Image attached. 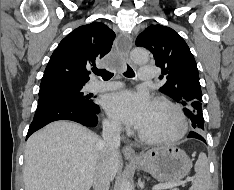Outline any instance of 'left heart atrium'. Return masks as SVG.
Wrapping results in <instances>:
<instances>
[{"mask_svg": "<svg viewBox=\"0 0 234 190\" xmlns=\"http://www.w3.org/2000/svg\"><path fill=\"white\" fill-rule=\"evenodd\" d=\"M152 105L151 98L143 91H119L104 99V108L112 119L137 129L146 122Z\"/></svg>", "mask_w": 234, "mask_h": 190, "instance_id": "1", "label": "left heart atrium"}]
</instances>
